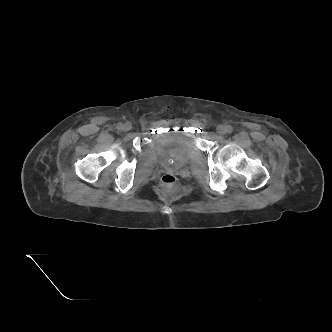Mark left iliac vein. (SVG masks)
Wrapping results in <instances>:
<instances>
[{
	"label": "left iliac vein",
	"mask_w": 332,
	"mask_h": 332,
	"mask_svg": "<svg viewBox=\"0 0 332 332\" xmlns=\"http://www.w3.org/2000/svg\"><path fill=\"white\" fill-rule=\"evenodd\" d=\"M217 132H218L220 135H224V134H226V132H227L226 127L223 126V125H218V126H217Z\"/></svg>",
	"instance_id": "obj_1"
}]
</instances>
